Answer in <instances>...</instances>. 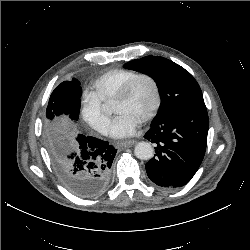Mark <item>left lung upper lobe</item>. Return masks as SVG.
<instances>
[{"label":"left lung upper lobe","instance_id":"5c2ea615","mask_svg":"<svg viewBox=\"0 0 250 250\" xmlns=\"http://www.w3.org/2000/svg\"><path fill=\"white\" fill-rule=\"evenodd\" d=\"M152 77L158 85L161 104L153 121L162 120L183 108L204 104L201 89L183 67L159 56H146L124 65Z\"/></svg>","mask_w":250,"mask_h":250}]
</instances>
